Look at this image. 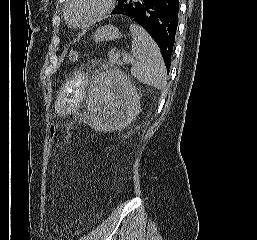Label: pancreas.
Segmentation results:
<instances>
[{"label":"pancreas","mask_w":257,"mask_h":240,"mask_svg":"<svg viewBox=\"0 0 257 240\" xmlns=\"http://www.w3.org/2000/svg\"><path fill=\"white\" fill-rule=\"evenodd\" d=\"M108 57H109V63L110 64H112V65H122V62L119 59L120 54L118 52H116L115 50H111L108 53Z\"/></svg>","instance_id":"obj_1"}]
</instances>
